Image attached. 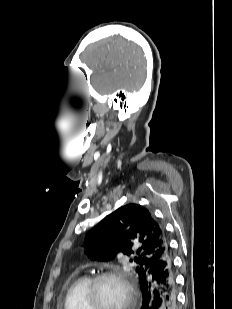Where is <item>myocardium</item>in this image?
Returning <instances> with one entry per match:
<instances>
[{"instance_id": "obj_1", "label": "myocardium", "mask_w": 232, "mask_h": 309, "mask_svg": "<svg viewBox=\"0 0 232 309\" xmlns=\"http://www.w3.org/2000/svg\"><path fill=\"white\" fill-rule=\"evenodd\" d=\"M107 279H115L123 284L126 290V300L121 309H131L136 292L131 280L128 278L127 274L119 269H110L102 271L94 275L89 282V285L86 290L85 300L88 305V309H99L98 307V287L100 283Z\"/></svg>"}]
</instances>
